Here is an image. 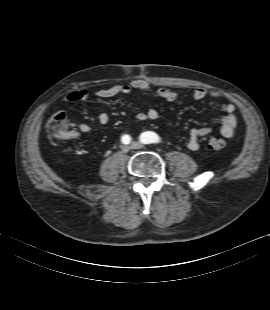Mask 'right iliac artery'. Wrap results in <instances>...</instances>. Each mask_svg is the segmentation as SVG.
Listing matches in <instances>:
<instances>
[{"label":"right iliac artery","mask_w":270,"mask_h":310,"mask_svg":"<svg viewBox=\"0 0 270 310\" xmlns=\"http://www.w3.org/2000/svg\"><path fill=\"white\" fill-rule=\"evenodd\" d=\"M121 141L123 144H129L131 142V137L129 135H123Z\"/></svg>","instance_id":"82829eb1"}]
</instances>
